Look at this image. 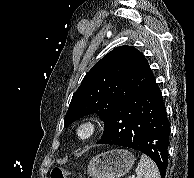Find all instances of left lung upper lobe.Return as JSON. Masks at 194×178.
<instances>
[{
  "mask_svg": "<svg viewBox=\"0 0 194 178\" xmlns=\"http://www.w3.org/2000/svg\"><path fill=\"white\" fill-rule=\"evenodd\" d=\"M155 82L145 56L132 46H120L99 60L73 94L64 127L88 114L102 121L124 100Z\"/></svg>",
  "mask_w": 194,
  "mask_h": 178,
  "instance_id": "5c2ea615",
  "label": "left lung upper lobe"
}]
</instances>
